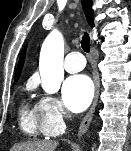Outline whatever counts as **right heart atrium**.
I'll use <instances>...</instances> for the list:
<instances>
[{"mask_svg": "<svg viewBox=\"0 0 131 151\" xmlns=\"http://www.w3.org/2000/svg\"><path fill=\"white\" fill-rule=\"evenodd\" d=\"M42 127L49 136L61 133L65 128V111L61 102L52 96H43L38 102Z\"/></svg>", "mask_w": 131, "mask_h": 151, "instance_id": "d8ad5b80", "label": "right heart atrium"}]
</instances>
